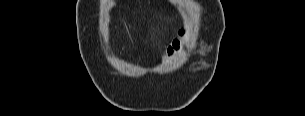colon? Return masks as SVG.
Returning a JSON list of instances; mask_svg holds the SVG:
<instances>
[{
    "label": "colon",
    "mask_w": 305,
    "mask_h": 116,
    "mask_svg": "<svg viewBox=\"0 0 305 116\" xmlns=\"http://www.w3.org/2000/svg\"><path fill=\"white\" fill-rule=\"evenodd\" d=\"M185 37V30L181 29L178 33V37L172 41V43L168 46L165 60L171 59L175 54L178 53L180 48L182 47L183 41Z\"/></svg>",
    "instance_id": "obj_1"
}]
</instances>
